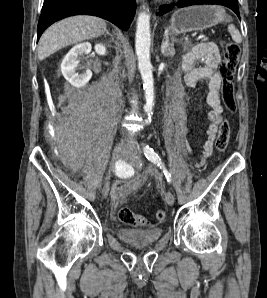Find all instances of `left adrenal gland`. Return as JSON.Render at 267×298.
Returning <instances> with one entry per match:
<instances>
[{
    "instance_id": "1",
    "label": "left adrenal gland",
    "mask_w": 267,
    "mask_h": 298,
    "mask_svg": "<svg viewBox=\"0 0 267 298\" xmlns=\"http://www.w3.org/2000/svg\"><path fill=\"white\" fill-rule=\"evenodd\" d=\"M179 42L174 37L169 38V32L165 31L164 38L161 44V53L165 57H173L174 55V43Z\"/></svg>"
}]
</instances>
